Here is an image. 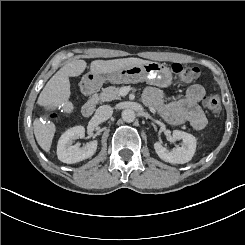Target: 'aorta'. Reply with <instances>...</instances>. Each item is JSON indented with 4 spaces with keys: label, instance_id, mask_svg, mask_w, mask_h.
Here are the masks:
<instances>
[{
    "label": "aorta",
    "instance_id": "obj_1",
    "mask_svg": "<svg viewBox=\"0 0 245 245\" xmlns=\"http://www.w3.org/2000/svg\"><path fill=\"white\" fill-rule=\"evenodd\" d=\"M136 114L133 110L131 109H125L122 111V119L125 122H133L135 120Z\"/></svg>",
    "mask_w": 245,
    "mask_h": 245
}]
</instances>
